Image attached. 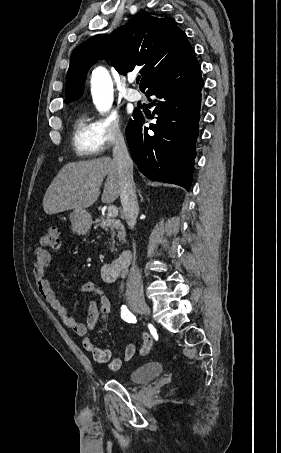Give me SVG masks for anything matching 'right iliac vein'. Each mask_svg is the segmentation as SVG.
<instances>
[{
  "instance_id": "obj_1",
  "label": "right iliac vein",
  "mask_w": 281,
  "mask_h": 453,
  "mask_svg": "<svg viewBox=\"0 0 281 453\" xmlns=\"http://www.w3.org/2000/svg\"><path fill=\"white\" fill-rule=\"evenodd\" d=\"M132 303L135 309H138L139 312L147 311L149 313L151 311L144 301H133Z\"/></svg>"
}]
</instances>
